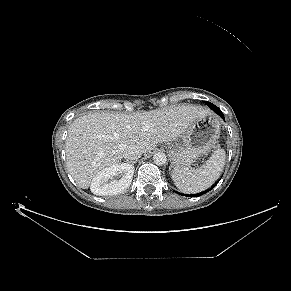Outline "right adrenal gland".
Returning a JSON list of instances; mask_svg holds the SVG:
<instances>
[{
  "label": "right adrenal gland",
  "mask_w": 291,
  "mask_h": 291,
  "mask_svg": "<svg viewBox=\"0 0 291 291\" xmlns=\"http://www.w3.org/2000/svg\"><path fill=\"white\" fill-rule=\"evenodd\" d=\"M134 163H136V161H133L132 163H131V165L133 166L134 165ZM134 167V166H133Z\"/></svg>",
  "instance_id": "obj_1"
}]
</instances>
